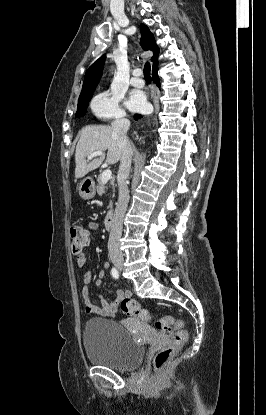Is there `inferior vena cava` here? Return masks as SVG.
I'll return each instance as SVG.
<instances>
[{"mask_svg":"<svg viewBox=\"0 0 266 415\" xmlns=\"http://www.w3.org/2000/svg\"><path fill=\"white\" fill-rule=\"evenodd\" d=\"M113 134L117 139L121 150L120 166L117 174L119 185V197L114 212L111 231L108 240V251L110 258L123 257L120 249V238L122 235L123 219L129 202V190L127 179L131 170L133 149L127 137L130 121L125 117H117L112 123Z\"/></svg>","mask_w":266,"mask_h":415,"instance_id":"obj_1","label":"inferior vena cava"}]
</instances>
